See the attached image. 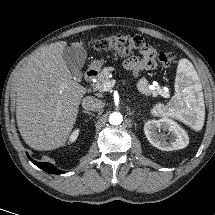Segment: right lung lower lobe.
<instances>
[{
	"label": "right lung lower lobe",
	"instance_id": "1",
	"mask_svg": "<svg viewBox=\"0 0 215 215\" xmlns=\"http://www.w3.org/2000/svg\"><path fill=\"white\" fill-rule=\"evenodd\" d=\"M28 158L30 159V161L32 163H34L35 165H37L39 168L46 171L47 173H51V174H62V173H64V171L58 170L55 166H53L50 163L36 162L33 159H31L29 156H28Z\"/></svg>",
	"mask_w": 215,
	"mask_h": 215
}]
</instances>
